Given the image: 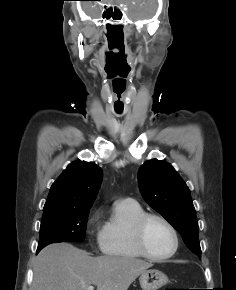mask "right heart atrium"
Returning <instances> with one entry per match:
<instances>
[{"label": "right heart atrium", "instance_id": "right-heart-atrium-1", "mask_svg": "<svg viewBox=\"0 0 236 290\" xmlns=\"http://www.w3.org/2000/svg\"><path fill=\"white\" fill-rule=\"evenodd\" d=\"M98 219V214H96L94 217H93V221H96Z\"/></svg>", "mask_w": 236, "mask_h": 290}]
</instances>
